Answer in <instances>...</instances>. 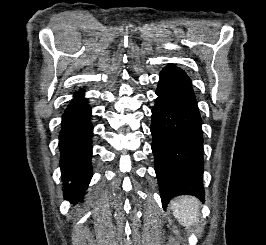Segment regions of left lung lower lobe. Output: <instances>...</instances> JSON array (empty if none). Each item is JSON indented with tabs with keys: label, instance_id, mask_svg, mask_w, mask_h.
<instances>
[{
	"label": "left lung lower lobe",
	"instance_id": "left-lung-lower-lobe-1",
	"mask_svg": "<svg viewBox=\"0 0 266 245\" xmlns=\"http://www.w3.org/2000/svg\"><path fill=\"white\" fill-rule=\"evenodd\" d=\"M159 78L151 133L163 207L184 194L204 202L201 117L190 78L173 64Z\"/></svg>",
	"mask_w": 266,
	"mask_h": 245
}]
</instances>
